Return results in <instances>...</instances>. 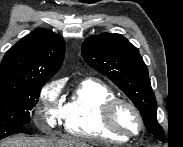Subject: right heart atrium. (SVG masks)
I'll return each instance as SVG.
<instances>
[{"instance_id": "d8ad5b80", "label": "right heart atrium", "mask_w": 183, "mask_h": 147, "mask_svg": "<svg viewBox=\"0 0 183 147\" xmlns=\"http://www.w3.org/2000/svg\"><path fill=\"white\" fill-rule=\"evenodd\" d=\"M61 84L47 83L40 92V104L36 112L39 122L50 127L56 126L63 118V104L60 100Z\"/></svg>"}]
</instances>
